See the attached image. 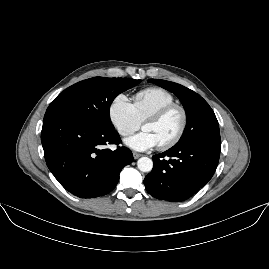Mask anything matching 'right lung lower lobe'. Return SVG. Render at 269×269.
Segmentation results:
<instances>
[{
  "mask_svg": "<svg viewBox=\"0 0 269 269\" xmlns=\"http://www.w3.org/2000/svg\"><path fill=\"white\" fill-rule=\"evenodd\" d=\"M41 142L49 170L67 191L80 198L111 192L120 171L133 161L126 147L100 150L103 145L121 143L114 128L98 127L54 108L45 113Z\"/></svg>",
  "mask_w": 269,
  "mask_h": 269,
  "instance_id": "right-lung-lower-lobe-1",
  "label": "right lung lower lobe"
}]
</instances>
